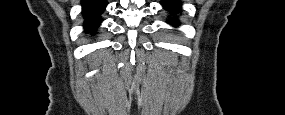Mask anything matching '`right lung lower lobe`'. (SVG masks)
Here are the masks:
<instances>
[{
	"label": "right lung lower lobe",
	"mask_w": 285,
	"mask_h": 115,
	"mask_svg": "<svg viewBox=\"0 0 285 115\" xmlns=\"http://www.w3.org/2000/svg\"><path fill=\"white\" fill-rule=\"evenodd\" d=\"M108 2L106 0H85L82 1V17L84 18V29L92 36L102 22L101 14L104 13Z\"/></svg>",
	"instance_id": "obj_1"
}]
</instances>
